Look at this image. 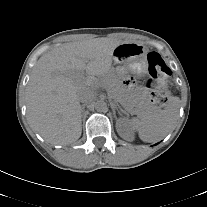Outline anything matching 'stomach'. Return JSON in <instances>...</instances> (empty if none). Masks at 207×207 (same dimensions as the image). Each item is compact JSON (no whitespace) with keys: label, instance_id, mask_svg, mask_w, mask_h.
<instances>
[{"label":"stomach","instance_id":"0dacf381","mask_svg":"<svg viewBox=\"0 0 207 207\" xmlns=\"http://www.w3.org/2000/svg\"><path fill=\"white\" fill-rule=\"evenodd\" d=\"M147 49L144 45L130 42L118 45L113 52V60L119 65H124L126 70L136 76H144L147 73ZM116 98L124 105L132 104L140 95L131 92L120 86L119 94Z\"/></svg>","mask_w":207,"mask_h":207}]
</instances>
